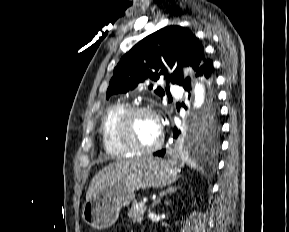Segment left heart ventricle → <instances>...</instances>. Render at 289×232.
<instances>
[{
  "label": "left heart ventricle",
  "mask_w": 289,
  "mask_h": 232,
  "mask_svg": "<svg viewBox=\"0 0 289 232\" xmlns=\"http://www.w3.org/2000/svg\"><path fill=\"white\" fill-rule=\"evenodd\" d=\"M133 139L141 146L154 145L160 137V127L155 118L147 114L134 116L130 124Z\"/></svg>",
  "instance_id": "1"
}]
</instances>
